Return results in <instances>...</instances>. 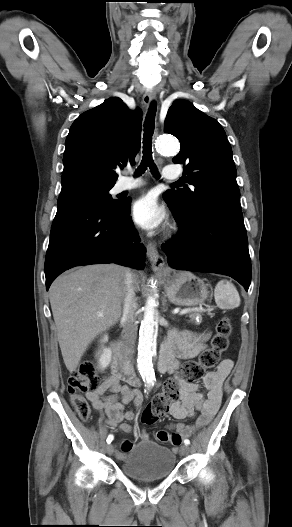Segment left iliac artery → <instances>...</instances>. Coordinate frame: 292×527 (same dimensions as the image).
I'll list each match as a JSON object with an SVG mask.
<instances>
[{
  "instance_id": "44dca946",
  "label": "left iliac artery",
  "mask_w": 292,
  "mask_h": 527,
  "mask_svg": "<svg viewBox=\"0 0 292 527\" xmlns=\"http://www.w3.org/2000/svg\"><path fill=\"white\" fill-rule=\"evenodd\" d=\"M184 444H185V445H189V444H190V440H189V439H185V440H184Z\"/></svg>"
}]
</instances>
